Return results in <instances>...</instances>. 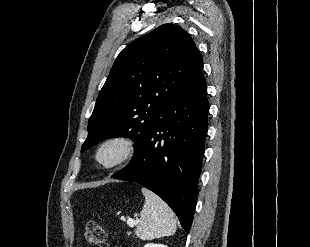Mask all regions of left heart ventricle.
I'll list each match as a JSON object with an SVG mask.
<instances>
[{
    "label": "left heart ventricle",
    "mask_w": 310,
    "mask_h": 247,
    "mask_svg": "<svg viewBox=\"0 0 310 247\" xmlns=\"http://www.w3.org/2000/svg\"><path fill=\"white\" fill-rule=\"evenodd\" d=\"M120 150L116 146H108L104 148L100 154V159L104 163H111L118 158Z\"/></svg>",
    "instance_id": "obj_1"
}]
</instances>
